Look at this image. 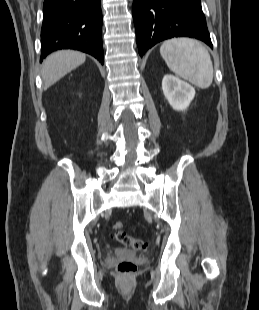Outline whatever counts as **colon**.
Returning <instances> with one entry per match:
<instances>
[{
  "label": "colon",
  "instance_id": "obj_1",
  "mask_svg": "<svg viewBox=\"0 0 259 310\" xmlns=\"http://www.w3.org/2000/svg\"><path fill=\"white\" fill-rule=\"evenodd\" d=\"M114 234L113 237L116 241L121 243L126 247H130L135 250L145 249L148 245L147 241L132 237L125 232H123V223L122 222H115L113 224ZM117 271L119 274L123 276L132 275L136 271V265L134 262L130 260H123L118 263Z\"/></svg>",
  "mask_w": 259,
  "mask_h": 310
}]
</instances>
